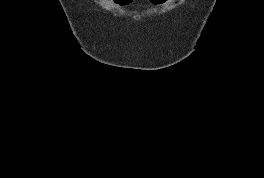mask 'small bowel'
I'll list each match as a JSON object with an SVG mask.
<instances>
[{"mask_svg": "<svg viewBox=\"0 0 264 178\" xmlns=\"http://www.w3.org/2000/svg\"><path fill=\"white\" fill-rule=\"evenodd\" d=\"M132 1H133V0H131V2H130L129 4H131V3H132ZM129 4H128V5H129Z\"/></svg>", "mask_w": 264, "mask_h": 178, "instance_id": "c3829d8e", "label": "small bowel"}]
</instances>
